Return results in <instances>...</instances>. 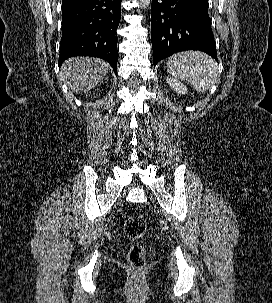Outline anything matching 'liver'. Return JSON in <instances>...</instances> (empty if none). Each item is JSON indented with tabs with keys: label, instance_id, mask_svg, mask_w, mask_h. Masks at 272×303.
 Here are the masks:
<instances>
[{
	"label": "liver",
	"instance_id": "1",
	"mask_svg": "<svg viewBox=\"0 0 272 303\" xmlns=\"http://www.w3.org/2000/svg\"><path fill=\"white\" fill-rule=\"evenodd\" d=\"M109 65L97 58L73 57L61 67V76L72 91L88 92L107 75Z\"/></svg>",
	"mask_w": 272,
	"mask_h": 303
}]
</instances>
